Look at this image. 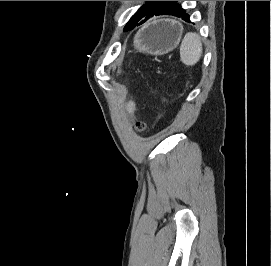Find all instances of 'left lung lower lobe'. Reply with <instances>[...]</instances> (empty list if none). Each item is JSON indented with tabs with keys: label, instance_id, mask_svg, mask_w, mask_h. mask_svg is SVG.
<instances>
[{
	"label": "left lung lower lobe",
	"instance_id": "left-lung-lower-lobe-1",
	"mask_svg": "<svg viewBox=\"0 0 271 266\" xmlns=\"http://www.w3.org/2000/svg\"><path fill=\"white\" fill-rule=\"evenodd\" d=\"M159 15H173V16H176V17H181L183 20H185L187 22H190L189 15L186 14V11L181 7V4L177 3L170 11H167V12L158 11V12H155V13L152 12V13L148 14L145 18L141 19L137 23L136 26L143 24L144 22H146L149 18H151L153 16H159ZM136 26H134V27H136ZM125 30H131V29L127 28Z\"/></svg>",
	"mask_w": 271,
	"mask_h": 266
}]
</instances>
